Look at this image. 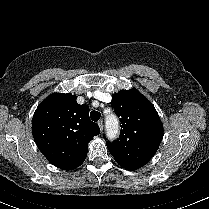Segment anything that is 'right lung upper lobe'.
Returning a JSON list of instances; mask_svg holds the SVG:
<instances>
[{
  "mask_svg": "<svg viewBox=\"0 0 209 209\" xmlns=\"http://www.w3.org/2000/svg\"><path fill=\"white\" fill-rule=\"evenodd\" d=\"M72 94L54 93L36 109L32 119L34 140L47 160L62 170L80 166L88 143L100 133L89 119V107Z\"/></svg>",
  "mask_w": 209,
  "mask_h": 209,
  "instance_id": "1",
  "label": "right lung upper lobe"
}]
</instances>
